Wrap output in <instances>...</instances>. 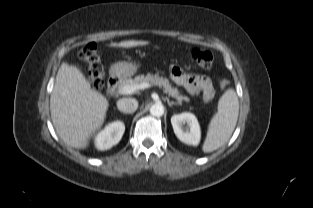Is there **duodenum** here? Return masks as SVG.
I'll use <instances>...</instances> for the list:
<instances>
[{"label": "duodenum", "mask_w": 313, "mask_h": 208, "mask_svg": "<svg viewBox=\"0 0 313 208\" xmlns=\"http://www.w3.org/2000/svg\"><path fill=\"white\" fill-rule=\"evenodd\" d=\"M118 82H119L118 74L116 72H112L109 77L107 88H106V91L108 94H113L116 91Z\"/></svg>", "instance_id": "duodenum-1"}]
</instances>
